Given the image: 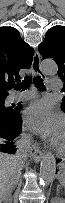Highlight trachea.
Returning <instances> with one entry per match:
<instances>
[{
    "instance_id": "obj_1",
    "label": "trachea",
    "mask_w": 65,
    "mask_h": 203,
    "mask_svg": "<svg viewBox=\"0 0 65 203\" xmlns=\"http://www.w3.org/2000/svg\"><path fill=\"white\" fill-rule=\"evenodd\" d=\"M31 83H32V77L28 76L23 80L22 83L13 85V88L16 90H26L27 88L30 87ZM34 84L40 90L46 89L44 84H43L41 77H39V76L34 78Z\"/></svg>"
}]
</instances>
